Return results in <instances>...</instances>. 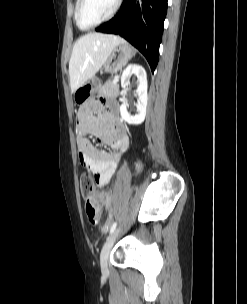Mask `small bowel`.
<instances>
[{"instance_id": "1", "label": "small bowel", "mask_w": 247, "mask_h": 304, "mask_svg": "<svg viewBox=\"0 0 247 304\" xmlns=\"http://www.w3.org/2000/svg\"><path fill=\"white\" fill-rule=\"evenodd\" d=\"M76 132L80 163L93 173L96 183L104 187L116 171L121 156L129 144L127 128L120 119L115 101L100 98L80 107ZM87 136L96 137L112 152L97 148Z\"/></svg>"}]
</instances>
